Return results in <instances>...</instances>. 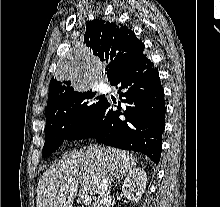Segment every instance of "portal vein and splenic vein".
<instances>
[{
  "mask_svg": "<svg viewBox=\"0 0 220 207\" xmlns=\"http://www.w3.org/2000/svg\"><path fill=\"white\" fill-rule=\"evenodd\" d=\"M81 199H82V201H83V203H84L85 205H88L89 203H91V200H92L90 194H84V195H82V196H81Z\"/></svg>",
  "mask_w": 220,
  "mask_h": 207,
  "instance_id": "portal-vein-and-splenic-vein-1",
  "label": "portal vein and splenic vein"
}]
</instances>
